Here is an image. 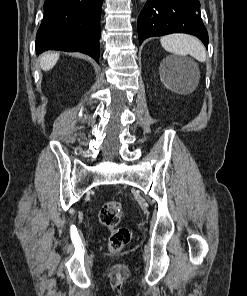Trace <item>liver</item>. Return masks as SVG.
Returning a JSON list of instances; mask_svg holds the SVG:
<instances>
[{
	"instance_id": "obj_1",
	"label": "liver",
	"mask_w": 247,
	"mask_h": 296,
	"mask_svg": "<svg viewBox=\"0 0 247 296\" xmlns=\"http://www.w3.org/2000/svg\"><path fill=\"white\" fill-rule=\"evenodd\" d=\"M59 59V53L46 52L40 57V66L44 71L52 69Z\"/></svg>"
}]
</instances>
